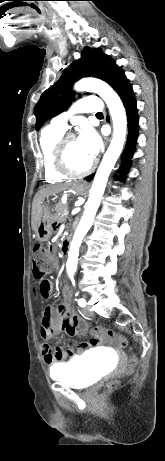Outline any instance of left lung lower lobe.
Returning a JSON list of instances; mask_svg holds the SVG:
<instances>
[{
  "mask_svg": "<svg viewBox=\"0 0 165 461\" xmlns=\"http://www.w3.org/2000/svg\"><path fill=\"white\" fill-rule=\"evenodd\" d=\"M112 88L120 96L124 107L127 113L128 120V142L121 157L122 159V178L125 176L128 166L130 164V159L133 155L134 144L137 138V127H138V115L136 108V101L133 93L132 86L130 85L128 79L126 78L124 72L122 71L114 80ZM94 177V174L86 177L87 181H90Z\"/></svg>",
  "mask_w": 165,
  "mask_h": 461,
  "instance_id": "0a47b994",
  "label": "left lung lower lobe"
}]
</instances>
